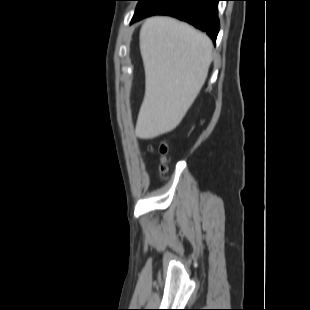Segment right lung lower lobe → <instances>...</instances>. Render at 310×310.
Returning a JSON list of instances; mask_svg holds the SVG:
<instances>
[{"label":"right lung lower lobe","instance_id":"obj_1","mask_svg":"<svg viewBox=\"0 0 310 310\" xmlns=\"http://www.w3.org/2000/svg\"><path fill=\"white\" fill-rule=\"evenodd\" d=\"M219 0H160L134 15L131 23L151 15H170L205 31L216 41L220 29Z\"/></svg>","mask_w":310,"mask_h":310}]
</instances>
